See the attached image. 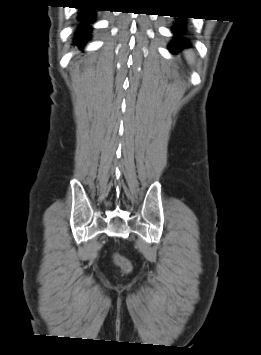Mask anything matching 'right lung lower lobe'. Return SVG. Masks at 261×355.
<instances>
[{
  "mask_svg": "<svg viewBox=\"0 0 261 355\" xmlns=\"http://www.w3.org/2000/svg\"><path fill=\"white\" fill-rule=\"evenodd\" d=\"M93 8H80V15L78 17V20L80 22H83L84 24H81L79 26V29L77 31V37L75 39V43L81 48L86 39L89 38V32H90V27L89 23L93 22V19L95 17V13L93 11Z\"/></svg>",
  "mask_w": 261,
  "mask_h": 355,
  "instance_id": "98d812e1",
  "label": "right lung lower lobe"
}]
</instances>
